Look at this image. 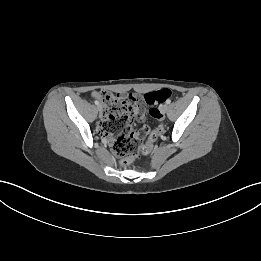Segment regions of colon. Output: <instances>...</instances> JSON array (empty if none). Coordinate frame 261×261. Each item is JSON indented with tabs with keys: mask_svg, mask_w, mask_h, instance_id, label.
<instances>
[{
	"mask_svg": "<svg viewBox=\"0 0 261 261\" xmlns=\"http://www.w3.org/2000/svg\"><path fill=\"white\" fill-rule=\"evenodd\" d=\"M172 95L169 89H161L144 95L146 103L154 105L163 102ZM104 104V114L100 122V131L105 135H112L111 147L113 152L121 159L122 166H127L142 154L147 153L152 144L157 140L165 126L150 130V135L146 138V143L141 144L142 139L139 137L141 131H134L133 127V110L135 99L131 96L125 98L119 94L109 91H96L93 93ZM149 114L161 122L164 120L162 113L156 107L149 110Z\"/></svg>",
	"mask_w": 261,
	"mask_h": 261,
	"instance_id": "obj_1",
	"label": "colon"
}]
</instances>
